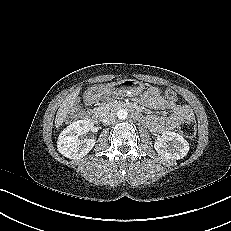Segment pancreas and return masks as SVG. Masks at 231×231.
I'll return each mask as SVG.
<instances>
[{"label": "pancreas", "instance_id": "obj_1", "mask_svg": "<svg viewBox=\"0 0 231 231\" xmlns=\"http://www.w3.org/2000/svg\"><path fill=\"white\" fill-rule=\"evenodd\" d=\"M100 108L102 109V111H104L105 109L108 108V106H101Z\"/></svg>", "mask_w": 231, "mask_h": 231}]
</instances>
